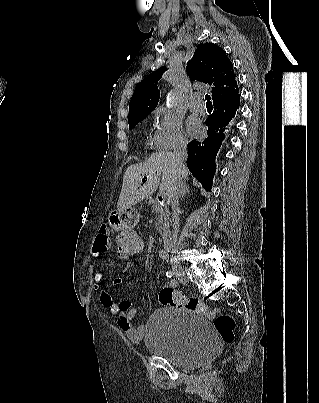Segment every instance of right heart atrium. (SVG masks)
Listing matches in <instances>:
<instances>
[{"mask_svg":"<svg viewBox=\"0 0 319 403\" xmlns=\"http://www.w3.org/2000/svg\"><path fill=\"white\" fill-rule=\"evenodd\" d=\"M186 144L181 117L168 107H157L154 111L152 146L157 150L167 151L183 148Z\"/></svg>","mask_w":319,"mask_h":403,"instance_id":"1","label":"right heart atrium"}]
</instances>
